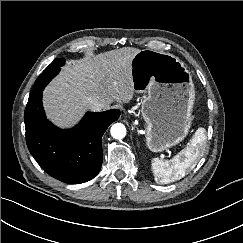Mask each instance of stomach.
Masks as SVG:
<instances>
[{
  "mask_svg": "<svg viewBox=\"0 0 243 243\" xmlns=\"http://www.w3.org/2000/svg\"><path fill=\"white\" fill-rule=\"evenodd\" d=\"M135 91L147 93L141 112L146 122V144L161 152L181 142L192 123L195 88L190 72L178 57L151 49L132 59Z\"/></svg>",
  "mask_w": 243,
  "mask_h": 243,
  "instance_id": "1",
  "label": "stomach"
}]
</instances>
